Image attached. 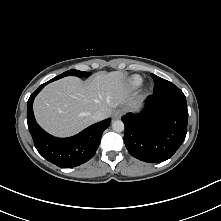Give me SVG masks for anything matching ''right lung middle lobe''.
I'll return each instance as SVG.
<instances>
[{
  "label": "right lung middle lobe",
  "mask_w": 221,
  "mask_h": 221,
  "mask_svg": "<svg viewBox=\"0 0 221 221\" xmlns=\"http://www.w3.org/2000/svg\"><path fill=\"white\" fill-rule=\"evenodd\" d=\"M89 75H90L89 72H84V71H79V70L72 69V70H68V71L58 75L57 77L51 79L49 82L58 80V79L63 78L65 76L88 77Z\"/></svg>",
  "instance_id": "right-lung-middle-lobe-1"
}]
</instances>
